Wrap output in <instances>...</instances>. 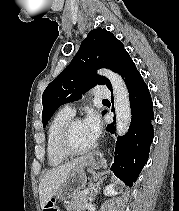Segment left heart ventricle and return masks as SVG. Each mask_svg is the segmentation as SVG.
Wrapping results in <instances>:
<instances>
[{"mask_svg":"<svg viewBox=\"0 0 179 211\" xmlns=\"http://www.w3.org/2000/svg\"><path fill=\"white\" fill-rule=\"evenodd\" d=\"M71 140L73 147L79 150L88 148L94 143L86 131L83 121L74 125Z\"/></svg>","mask_w":179,"mask_h":211,"instance_id":"1","label":"left heart ventricle"}]
</instances>
